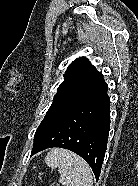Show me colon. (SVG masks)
Here are the masks:
<instances>
[{"label": "colon", "mask_w": 138, "mask_h": 186, "mask_svg": "<svg viewBox=\"0 0 138 186\" xmlns=\"http://www.w3.org/2000/svg\"><path fill=\"white\" fill-rule=\"evenodd\" d=\"M32 186H37L36 183H33ZM51 186H59L57 183H52Z\"/></svg>", "instance_id": "colon-1"}]
</instances>
